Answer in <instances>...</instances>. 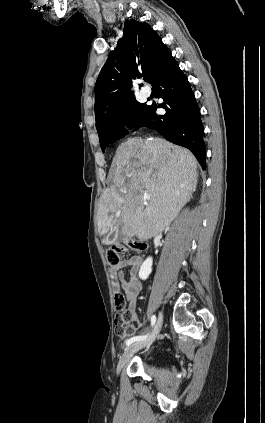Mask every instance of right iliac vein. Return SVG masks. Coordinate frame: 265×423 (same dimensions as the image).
I'll return each instance as SVG.
<instances>
[{"mask_svg": "<svg viewBox=\"0 0 265 423\" xmlns=\"http://www.w3.org/2000/svg\"><path fill=\"white\" fill-rule=\"evenodd\" d=\"M162 323H163V315H162V313H160L158 320L156 322V325H155L152 333L149 335V337L145 340L135 342L125 349L124 353L122 354V356H121V358L118 362L117 373H120L123 370V368L125 367V365L129 361V359L134 355V353H136L137 351H139L140 349H142L144 347L150 346L153 343V341L156 339L157 335L159 334V332L161 330Z\"/></svg>", "mask_w": 265, "mask_h": 423, "instance_id": "obj_1", "label": "right iliac vein"}]
</instances>
